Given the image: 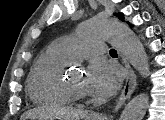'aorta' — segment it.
Masks as SVG:
<instances>
[{
    "mask_svg": "<svg viewBox=\"0 0 165 120\" xmlns=\"http://www.w3.org/2000/svg\"><path fill=\"white\" fill-rule=\"evenodd\" d=\"M81 33L110 40L142 76L149 71L148 57L142 43L125 24L111 19L92 18L81 25ZM149 103L145 93L134 97L125 107L120 120H142Z\"/></svg>",
    "mask_w": 165,
    "mask_h": 120,
    "instance_id": "obj_1",
    "label": "aorta"
}]
</instances>
